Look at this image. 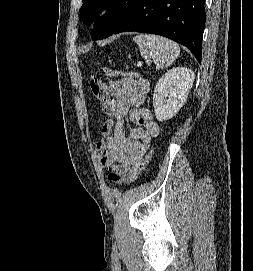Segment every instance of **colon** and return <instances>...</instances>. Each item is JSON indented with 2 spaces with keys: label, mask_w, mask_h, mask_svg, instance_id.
<instances>
[{
  "label": "colon",
  "mask_w": 253,
  "mask_h": 271,
  "mask_svg": "<svg viewBox=\"0 0 253 271\" xmlns=\"http://www.w3.org/2000/svg\"><path fill=\"white\" fill-rule=\"evenodd\" d=\"M106 71L108 73L111 72L108 69H106ZM119 73L123 76H130L131 75L127 71H120ZM90 86H91V90L94 93V95L96 97H99V95L103 89V84L99 80L94 79L91 81ZM151 152H152V149H150V151L143 158L138 160L135 163L134 169L128 175H120L118 173L113 172V173L109 174V180L114 183H117V184H125V183L134 182L141 175V173L144 171L147 163L149 162Z\"/></svg>",
  "instance_id": "colon-1"
}]
</instances>
